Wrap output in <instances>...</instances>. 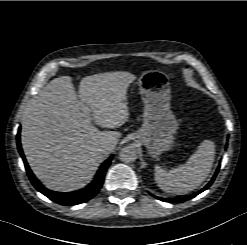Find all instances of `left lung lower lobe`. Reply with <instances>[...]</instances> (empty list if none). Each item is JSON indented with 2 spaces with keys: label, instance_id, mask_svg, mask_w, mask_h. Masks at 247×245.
Returning a JSON list of instances; mask_svg holds the SVG:
<instances>
[{
  "label": "left lung lower lobe",
  "instance_id": "obj_1",
  "mask_svg": "<svg viewBox=\"0 0 247 245\" xmlns=\"http://www.w3.org/2000/svg\"><path fill=\"white\" fill-rule=\"evenodd\" d=\"M218 171H219V167L216 170V172H215L213 178L211 179V181L203 189H201L200 191H198V192H196V193H194L192 195L186 196L184 198H176V199H165V198H160V197H156V198L161 200V201H165V202H177V203H181V202H184L186 200H189V199L195 197L196 195L200 194L201 192L205 191L206 189H208L210 187V185L213 183V181L215 180V177H216Z\"/></svg>",
  "mask_w": 247,
  "mask_h": 245
}]
</instances>
